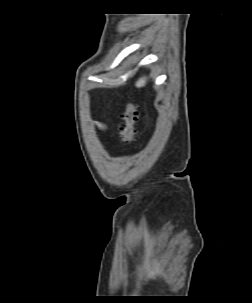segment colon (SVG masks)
Here are the masks:
<instances>
[{"label": "colon", "mask_w": 252, "mask_h": 303, "mask_svg": "<svg viewBox=\"0 0 252 303\" xmlns=\"http://www.w3.org/2000/svg\"><path fill=\"white\" fill-rule=\"evenodd\" d=\"M138 121V111L136 105L131 102H126V108L124 113V124L121 127V136L123 142L128 145L136 140L137 134L135 125Z\"/></svg>", "instance_id": "5ec220e1"}]
</instances>
